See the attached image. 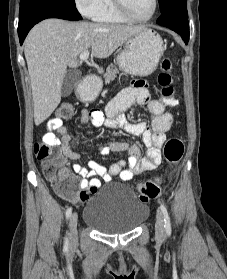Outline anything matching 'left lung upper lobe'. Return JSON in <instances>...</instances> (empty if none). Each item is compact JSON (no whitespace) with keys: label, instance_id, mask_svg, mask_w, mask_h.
<instances>
[{"label":"left lung upper lobe","instance_id":"obj_1","mask_svg":"<svg viewBox=\"0 0 227 279\" xmlns=\"http://www.w3.org/2000/svg\"><path fill=\"white\" fill-rule=\"evenodd\" d=\"M161 13L173 7H187L186 0H158Z\"/></svg>","mask_w":227,"mask_h":279}]
</instances>
